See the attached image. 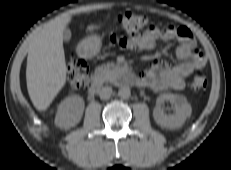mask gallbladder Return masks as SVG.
Returning a JSON list of instances; mask_svg holds the SVG:
<instances>
[{
  "instance_id": "gallbladder-1",
  "label": "gallbladder",
  "mask_w": 231,
  "mask_h": 170,
  "mask_svg": "<svg viewBox=\"0 0 231 170\" xmlns=\"http://www.w3.org/2000/svg\"><path fill=\"white\" fill-rule=\"evenodd\" d=\"M71 39V31L69 29H64L63 31V40L68 42Z\"/></svg>"
}]
</instances>
